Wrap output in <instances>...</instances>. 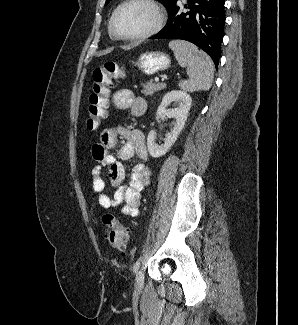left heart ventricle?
<instances>
[{"mask_svg": "<svg viewBox=\"0 0 298 325\" xmlns=\"http://www.w3.org/2000/svg\"><path fill=\"white\" fill-rule=\"evenodd\" d=\"M153 23L151 12L140 6L122 9L115 20L116 33L125 40H130L148 29Z\"/></svg>", "mask_w": 298, "mask_h": 325, "instance_id": "left-heart-ventricle-1", "label": "left heart ventricle"}]
</instances>
